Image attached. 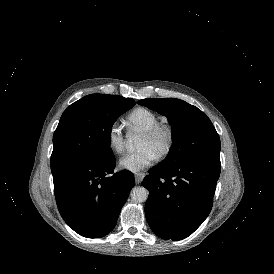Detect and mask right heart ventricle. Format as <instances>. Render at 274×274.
<instances>
[{"mask_svg":"<svg viewBox=\"0 0 274 274\" xmlns=\"http://www.w3.org/2000/svg\"><path fill=\"white\" fill-rule=\"evenodd\" d=\"M127 123L132 128L145 132L159 124L156 114L148 110H138L127 117Z\"/></svg>","mask_w":274,"mask_h":274,"instance_id":"right-heart-ventricle-1","label":"right heart ventricle"}]
</instances>
